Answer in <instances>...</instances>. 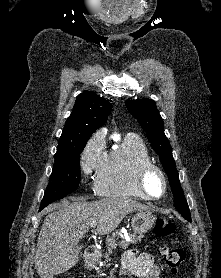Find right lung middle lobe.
Returning <instances> with one entry per match:
<instances>
[{
  "label": "right lung middle lobe",
  "instance_id": "1",
  "mask_svg": "<svg viewBox=\"0 0 221 278\" xmlns=\"http://www.w3.org/2000/svg\"><path fill=\"white\" fill-rule=\"evenodd\" d=\"M85 145L86 142L67 149L57 150L53 171L40 210L78 188L81 179L80 154Z\"/></svg>",
  "mask_w": 221,
  "mask_h": 278
}]
</instances>
